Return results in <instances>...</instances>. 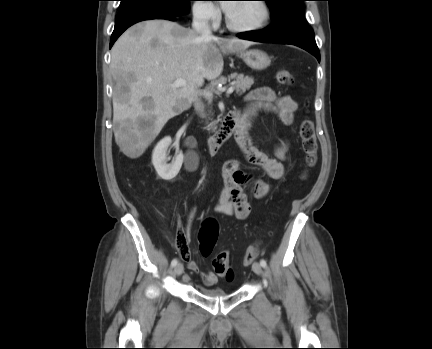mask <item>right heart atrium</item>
<instances>
[{"label":"right heart atrium","mask_w":432,"mask_h":349,"mask_svg":"<svg viewBox=\"0 0 432 349\" xmlns=\"http://www.w3.org/2000/svg\"><path fill=\"white\" fill-rule=\"evenodd\" d=\"M194 17L202 22L215 24L219 21L220 12L216 5L209 0H197L192 5Z\"/></svg>","instance_id":"right-heart-atrium-1"}]
</instances>
